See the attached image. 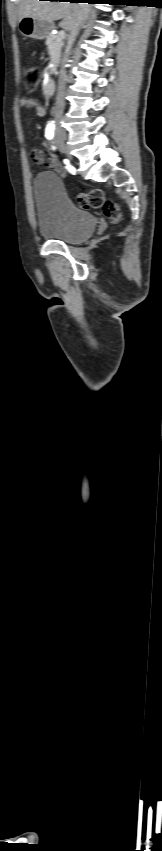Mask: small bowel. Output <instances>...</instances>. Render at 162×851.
Returning a JSON list of instances; mask_svg holds the SVG:
<instances>
[{
	"instance_id": "c3829d8e",
	"label": "small bowel",
	"mask_w": 162,
	"mask_h": 851,
	"mask_svg": "<svg viewBox=\"0 0 162 851\" xmlns=\"http://www.w3.org/2000/svg\"><path fill=\"white\" fill-rule=\"evenodd\" d=\"M20 105L23 108L34 109L38 116L45 115V109L32 98H22L20 101ZM32 157L34 162L38 165H45L56 171L62 170L61 165L59 164L56 156L51 155L50 158L47 159L44 155V152L39 148H34L32 150Z\"/></svg>"
}]
</instances>
